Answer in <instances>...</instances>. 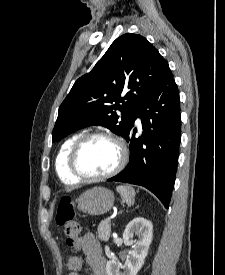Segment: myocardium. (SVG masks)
Here are the masks:
<instances>
[{"mask_svg":"<svg viewBox=\"0 0 225 275\" xmlns=\"http://www.w3.org/2000/svg\"><path fill=\"white\" fill-rule=\"evenodd\" d=\"M95 138H104V139H108L112 142H114L117 147H118V151H119V158H118V162L116 164V166L109 172L102 174V175H86L83 174L79 168H78V164H77V159H78V155L80 153V151L82 150V148L84 147V145ZM128 161V149L124 143V141L116 136L113 135L111 133H107V132H102V131H94V132H90V133H86L81 135L76 142L73 144L69 156H68V168L70 170V172L72 173V175L78 179V180H83V181H102L108 178H111L115 175H117L118 173H120L123 168L125 167L126 163Z\"/></svg>","mask_w":225,"mask_h":275,"instance_id":"myocardium-1","label":"myocardium"}]
</instances>
